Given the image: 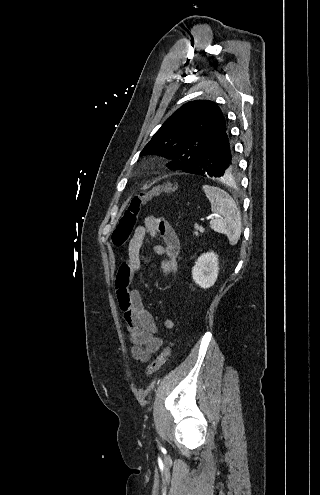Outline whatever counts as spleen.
Listing matches in <instances>:
<instances>
[{
  "label": "spleen",
  "instance_id": "1",
  "mask_svg": "<svg viewBox=\"0 0 320 495\" xmlns=\"http://www.w3.org/2000/svg\"><path fill=\"white\" fill-rule=\"evenodd\" d=\"M203 190L211 203V211L216 218L210 222L215 232L227 236L230 245H236L241 235V215L233 198L224 190L203 185Z\"/></svg>",
  "mask_w": 320,
  "mask_h": 495
}]
</instances>
